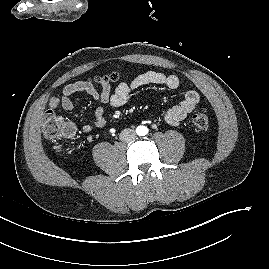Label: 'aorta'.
Listing matches in <instances>:
<instances>
[{"instance_id": "762f6f07", "label": "aorta", "mask_w": 269, "mask_h": 269, "mask_svg": "<svg viewBox=\"0 0 269 269\" xmlns=\"http://www.w3.org/2000/svg\"><path fill=\"white\" fill-rule=\"evenodd\" d=\"M136 132L139 136H145L148 133V129L145 126H138Z\"/></svg>"}]
</instances>
